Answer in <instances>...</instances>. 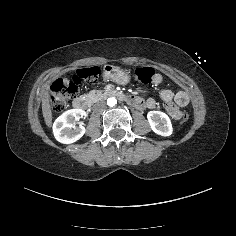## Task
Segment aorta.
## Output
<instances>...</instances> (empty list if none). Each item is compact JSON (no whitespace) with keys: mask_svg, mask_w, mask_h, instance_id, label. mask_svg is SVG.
I'll list each match as a JSON object with an SVG mask.
<instances>
[{"mask_svg":"<svg viewBox=\"0 0 236 236\" xmlns=\"http://www.w3.org/2000/svg\"><path fill=\"white\" fill-rule=\"evenodd\" d=\"M116 103H117V100L114 97L108 98V100H107V105L110 106V107L115 106Z\"/></svg>","mask_w":236,"mask_h":236,"instance_id":"obj_1","label":"aorta"}]
</instances>
